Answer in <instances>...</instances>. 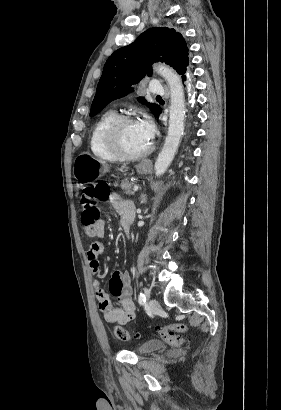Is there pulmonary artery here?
<instances>
[{
    "mask_svg": "<svg viewBox=\"0 0 281 410\" xmlns=\"http://www.w3.org/2000/svg\"><path fill=\"white\" fill-rule=\"evenodd\" d=\"M149 92L153 94H164L165 89L157 80H152L149 83Z\"/></svg>",
    "mask_w": 281,
    "mask_h": 410,
    "instance_id": "1",
    "label": "pulmonary artery"
}]
</instances>
